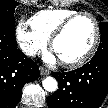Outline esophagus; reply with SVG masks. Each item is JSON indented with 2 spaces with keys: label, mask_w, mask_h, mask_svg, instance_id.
Listing matches in <instances>:
<instances>
[{
  "label": "esophagus",
  "mask_w": 108,
  "mask_h": 108,
  "mask_svg": "<svg viewBox=\"0 0 108 108\" xmlns=\"http://www.w3.org/2000/svg\"><path fill=\"white\" fill-rule=\"evenodd\" d=\"M39 70H40V74L41 75H48V74H50V71L45 69V68H43V67H40Z\"/></svg>",
  "instance_id": "34e87169"
}]
</instances>
